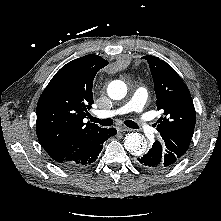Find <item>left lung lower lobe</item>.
<instances>
[{
  "label": "left lung lower lobe",
  "instance_id": "1",
  "mask_svg": "<svg viewBox=\"0 0 221 221\" xmlns=\"http://www.w3.org/2000/svg\"><path fill=\"white\" fill-rule=\"evenodd\" d=\"M137 165L145 170L161 172L175 165L173 158L159 141H155L146 154L137 159Z\"/></svg>",
  "mask_w": 221,
  "mask_h": 221
}]
</instances>
